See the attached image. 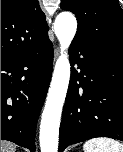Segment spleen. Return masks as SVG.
<instances>
[{
    "instance_id": "obj_1",
    "label": "spleen",
    "mask_w": 123,
    "mask_h": 152,
    "mask_svg": "<svg viewBox=\"0 0 123 152\" xmlns=\"http://www.w3.org/2000/svg\"><path fill=\"white\" fill-rule=\"evenodd\" d=\"M84 152H123V144L110 138H95L83 145Z\"/></svg>"
}]
</instances>
